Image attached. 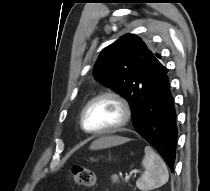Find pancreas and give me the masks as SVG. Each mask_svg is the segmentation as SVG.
<instances>
[{
    "label": "pancreas",
    "mask_w": 210,
    "mask_h": 191,
    "mask_svg": "<svg viewBox=\"0 0 210 191\" xmlns=\"http://www.w3.org/2000/svg\"><path fill=\"white\" fill-rule=\"evenodd\" d=\"M117 180H118V177H117L116 175H113V176H112V181H113V182H117Z\"/></svg>",
    "instance_id": "pancreas-1"
}]
</instances>
